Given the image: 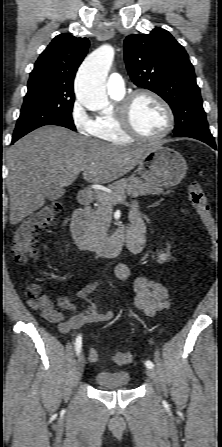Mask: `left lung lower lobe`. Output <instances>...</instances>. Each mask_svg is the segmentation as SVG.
<instances>
[{"mask_svg":"<svg viewBox=\"0 0 222 447\" xmlns=\"http://www.w3.org/2000/svg\"><path fill=\"white\" fill-rule=\"evenodd\" d=\"M191 138H193V137H191ZM195 139L203 141V142L207 143L208 145H210L211 147H213L214 149H217L214 139H211V140H207V139H203V138H195Z\"/></svg>","mask_w":222,"mask_h":447,"instance_id":"0a47b994","label":"left lung lower lobe"}]
</instances>
